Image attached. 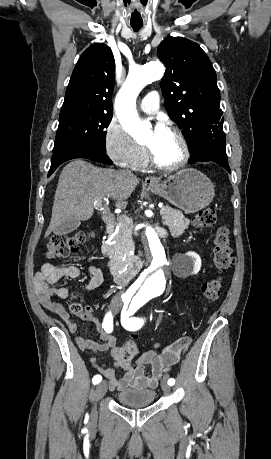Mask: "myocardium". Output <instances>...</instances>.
Masks as SVG:
<instances>
[{
    "mask_svg": "<svg viewBox=\"0 0 271 459\" xmlns=\"http://www.w3.org/2000/svg\"><path fill=\"white\" fill-rule=\"evenodd\" d=\"M165 130L169 131L177 140L179 144V154L173 160H162L160 159L149 146L146 145V149L148 151V155L153 164H155L160 169L164 170H172L178 169L184 166L190 159L191 150L189 143L183 134V132L174 124L170 123L166 126Z\"/></svg>",
    "mask_w": 271,
    "mask_h": 459,
    "instance_id": "myocardium-1",
    "label": "myocardium"
}]
</instances>
